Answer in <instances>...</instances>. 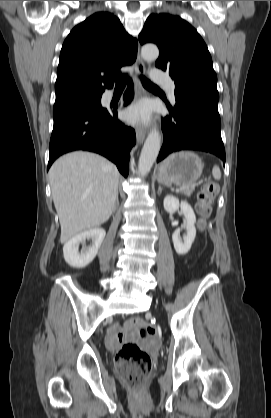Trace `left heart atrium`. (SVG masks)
<instances>
[{"mask_svg": "<svg viewBox=\"0 0 271 418\" xmlns=\"http://www.w3.org/2000/svg\"><path fill=\"white\" fill-rule=\"evenodd\" d=\"M149 116L150 108L145 102L132 105L125 112V118L131 124L147 122Z\"/></svg>", "mask_w": 271, "mask_h": 418, "instance_id": "39dd6f15", "label": "left heart atrium"}]
</instances>
